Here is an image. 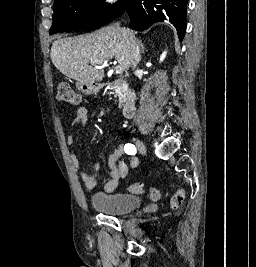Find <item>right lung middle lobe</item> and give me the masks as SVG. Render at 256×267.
<instances>
[{
  "label": "right lung middle lobe",
  "instance_id": "dd1d6c3e",
  "mask_svg": "<svg viewBox=\"0 0 256 267\" xmlns=\"http://www.w3.org/2000/svg\"><path fill=\"white\" fill-rule=\"evenodd\" d=\"M105 0H57L53 5V24L50 34L62 31L95 30L121 16L130 0L114 5Z\"/></svg>",
  "mask_w": 256,
  "mask_h": 267
}]
</instances>
